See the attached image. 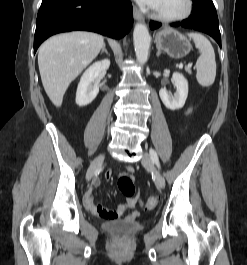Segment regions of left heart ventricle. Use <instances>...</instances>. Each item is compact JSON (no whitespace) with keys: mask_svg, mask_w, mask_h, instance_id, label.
<instances>
[{"mask_svg":"<svg viewBox=\"0 0 247 265\" xmlns=\"http://www.w3.org/2000/svg\"><path fill=\"white\" fill-rule=\"evenodd\" d=\"M184 7V0H159L154 8L160 13L174 15L179 13Z\"/></svg>","mask_w":247,"mask_h":265,"instance_id":"left-heart-ventricle-1","label":"left heart ventricle"}]
</instances>
